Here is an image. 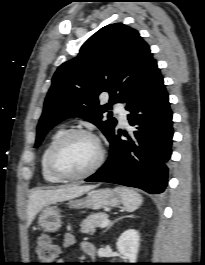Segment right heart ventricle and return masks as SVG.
Masks as SVG:
<instances>
[{
  "label": "right heart ventricle",
  "mask_w": 205,
  "mask_h": 265,
  "mask_svg": "<svg viewBox=\"0 0 205 265\" xmlns=\"http://www.w3.org/2000/svg\"><path fill=\"white\" fill-rule=\"evenodd\" d=\"M66 130L64 128L57 129L55 132L51 134L49 137L45 148L43 150L42 156H41V173L43 179L48 183H59L61 180L57 179L55 176H53L50 171L48 170L46 159L48 151L51 147V145L56 141L58 137H60Z\"/></svg>",
  "instance_id": "obj_1"
}]
</instances>
